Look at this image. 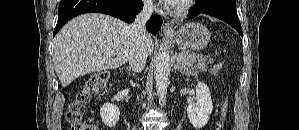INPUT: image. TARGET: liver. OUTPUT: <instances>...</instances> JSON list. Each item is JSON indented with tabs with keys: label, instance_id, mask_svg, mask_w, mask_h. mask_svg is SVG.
<instances>
[{
	"label": "liver",
	"instance_id": "6515ba94",
	"mask_svg": "<svg viewBox=\"0 0 299 130\" xmlns=\"http://www.w3.org/2000/svg\"><path fill=\"white\" fill-rule=\"evenodd\" d=\"M128 27L117 18L99 13L83 14L68 22L54 39L53 62L62 86L86 74L124 65L131 44ZM144 45L151 55L154 44L148 33Z\"/></svg>",
	"mask_w": 299,
	"mask_h": 130
}]
</instances>
